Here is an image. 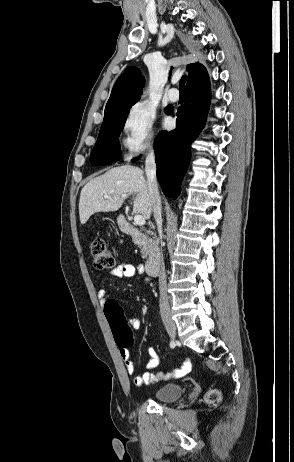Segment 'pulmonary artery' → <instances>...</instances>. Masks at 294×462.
Listing matches in <instances>:
<instances>
[{
	"label": "pulmonary artery",
	"instance_id": "obj_1",
	"mask_svg": "<svg viewBox=\"0 0 294 462\" xmlns=\"http://www.w3.org/2000/svg\"><path fill=\"white\" fill-rule=\"evenodd\" d=\"M167 98L170 102H177L179 99V91L176 88H171L167 92Z\"/></svg>",
	"mask_w": 294,
	"mask_h": 462
}]
</instances>
